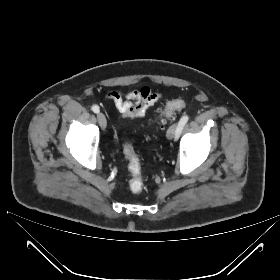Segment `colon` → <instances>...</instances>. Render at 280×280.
<instances>
[{
  "label": "colon",
  "instance_id": "obj_1",
  "mask_svg": "<svg viewBox=\"0 0 280 280\" xmlns=\"http://www.w3.org/2000/svg\"><path fill=\"white\" fill-rule=\"evenodd\" d=\"M185 107L186 102L183 100H174L172 102H169L160 113V125H164L167 118H173L176 111L181 110ZM124 152L128 159L129 171L132 174V178L129 181L130 190L133 193H140L143 190L144 181L141 175V164L139 158L129 142L125 144Z\"/></svg>",
  "mask_w": 280,
  "mask_h": 280
}]
</instances>
